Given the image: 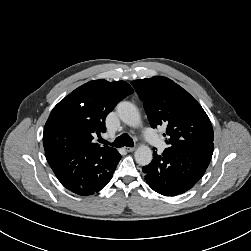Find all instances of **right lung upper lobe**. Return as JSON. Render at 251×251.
<instances>
[{
	"label": "right lung upper lobe",
	"mask_w": 251,
	"mask_h": 251,
	"mask_svg": "<svg viewBox=\"0 0 251 251\" xmlns=\"http://www.w3.org/2000/svg\"><path fill=\"white\" fill-rule=\"evenodd\" d=\"M133 92L124 81L110 83L102 79L90 81L75 89L54 107L45 124V152L54 149L51 134L63 129L72 135L71 148L103 153L105 161H111L117 150L94 143L93 135L106 131V116L118 102Z\"/></svg>",
	"instance_id": "cb5924a9"
}]
</instances>
